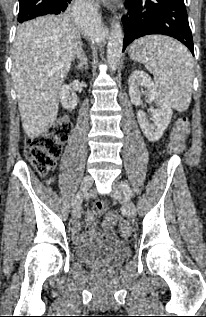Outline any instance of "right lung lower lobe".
Segmentation results:
<instances>
[{
  "label": "right lung lower lobe",
  "mask_w": 206,
  "mask_h": 317,
  "mask_svg": "<svg viewBox=\"0 0 206 317\" xmlns=\"http://www.w3.org/2000/svg\"><path fill=\"white\" fill-rule=\"evenodd\" d=\"M71 1L72 0H57L55 5L57 8L61 9V12H64Z\"/></svg>",
  "instance_id": "right-lung-lower-lobe-1"
}]
</instances>
